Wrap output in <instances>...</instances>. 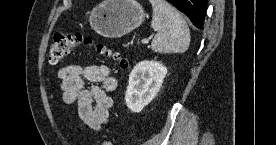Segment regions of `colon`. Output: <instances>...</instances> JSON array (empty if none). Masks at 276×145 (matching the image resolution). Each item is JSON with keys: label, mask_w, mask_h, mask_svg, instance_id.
Listing matches in <instances>:
<instances>
[{"label": "colon", "mask_w": 276, "mask_h": 145, "mask_svg": "<svg viewBox=\"0 0 276 145\" xmlns=\"http://www.w3.org/2000/svg\"><path fill=\"white\" fill-rule=\"evenodd\" d=\"M86 46L92 47L93 42L92 40L82 35L81 33H74V34H62L56 33L53 37V41L50 46L48 60L51 65H57L62 59L67 56L73 49L77 46ZM97 53L104 56L112 57L114 60L118 62V65L121 69L126 70L130 67V61L122 57L117 53H112L109 51L104 45H97L96 47ZM101 145H112L110 141H103Z\"/></svg>", "instance_id": "obj_1"}]
</instances>
